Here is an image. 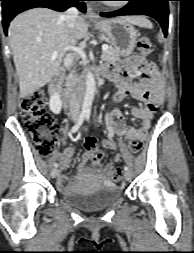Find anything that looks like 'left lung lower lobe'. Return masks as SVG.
Instances as JSON below:
<instances>
[{
    "label": "left lung lower lobe",
    "instance_id": "obj_1",
    "mask_svg": "<svg viewBox=\"0 0 194 253\" xmlns=\"http://www.w3.org/2000/svg\"><path fill=\"white\" fill-rule=\"evenodd\" d=\"M129 3L120 10L100 13L103 17L120 15H147L155 18L161 25L165 36L168 31V2L171 0H126Z\"/></svg>",
    "mask_w": 194,
    "mask_h": 253
}]
</instances>
